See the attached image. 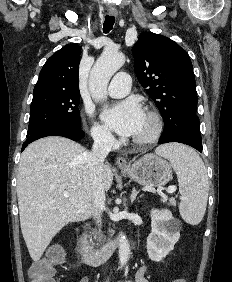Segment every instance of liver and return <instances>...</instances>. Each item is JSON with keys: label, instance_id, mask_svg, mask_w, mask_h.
Returning <instances> with one entry per match:
<instances>
[{"label": "liver", "instance_id": "6515ba94", "mask_svg": "<svg viewBox=\"0 0 232 282\" xmlns=\"http://www.w3.org/2000/svg\"><path fill=\"white\" fill-rule=\"evenodd\" d=\"M88 154L80 144L59 136L39 139L22 153L17 177L20 225L34 261L65 225L93 214ZM102 178L108 191L113 182L108 165Z\"/></svg>", "mask_w": 232, "mask_h": 282}]
</instances>
